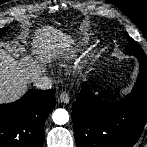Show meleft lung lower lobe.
Masks as SVG:
<instances>
[{
  "mask_svg": "<svg viewBox=\"0 0 147 147\" xmlns=\"http://www.w3.org/2000/svg\"><path fill=\"white\" fill-rule=\"evenodd\" d=\"M139 60V74L130 94L116 103L98 98L84 82L72 106L78 147H131L147 121V60Z\"/></svg>",
  "mask_w": 147,
  "mask_h": 147,
  "instance_id": "1",
  "label": "left lung lower lobe"
}]
</instances>
